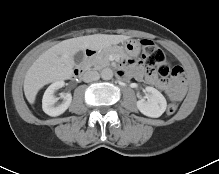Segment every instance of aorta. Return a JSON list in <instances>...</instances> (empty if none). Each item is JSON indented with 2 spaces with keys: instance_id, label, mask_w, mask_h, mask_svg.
<instances>
[{
  "instance_id": "obj_1",
  "label": "aorta",
  "mask_w": 219,
  "mask_h": 174,
  "mask_svg": "<svg viewBox=\"0 0 219 174\" xmlns=\"http://www.w3.org/2000/svg\"><path fill=\"white\" fill-rule=\"evenodd\" d=\"M113 77V71L110 68H104L101 71V78L103 80H110Z\"/></svg>"
}]
</instances>
